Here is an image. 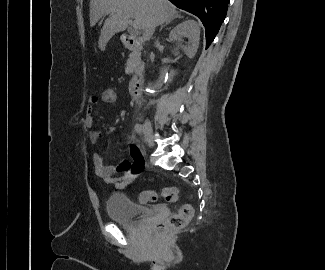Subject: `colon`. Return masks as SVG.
Returning <instances> with one entry per match:
<instances>
[{
	"label": "colon",
	"mask_w": 325,
	"mask_h": 270,
	"mask_svg": "<svg viewBox=\"0 0 325 270\" xmlns=\"http://www.w3.org/2000/svg\"><path fill=\"white\" fill-rule=\"evenodd\" d=\"M101 101L105 104H114L117 100V94L112 88H106L101 93ZM162 196L168 202H175L178 199V191L174 187L163 188L159 191H143L139 194L141 203L154 202ZM193 216V207L191 204H183L178 212L171 215L164 222L156 227V231L161 233L169 230H178L183 228Z\"/></svg>",
	"instance_id": "colon-1"
}]
</instances>
